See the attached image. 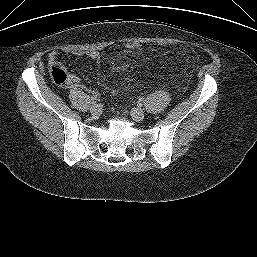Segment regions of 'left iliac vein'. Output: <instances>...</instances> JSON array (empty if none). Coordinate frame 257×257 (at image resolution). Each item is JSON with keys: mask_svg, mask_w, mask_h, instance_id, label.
Here are the masks:
<instances>
[{"mask_svg": "<svg viewBox=\"0 0 257 257\" xmlns=\"http://www.w3.org/2000/svg\"><path fill=\"white\" fill-rule=\"evenodd\" d=\"M131 116L134 121L141 122L145 117V113L141 108H133L131 110Z\"/></svg>", "mask_w": 257, "mask_h": 257, "instance_id": "4c4485c4", "label": "left iliac vein"}]
</instances>
